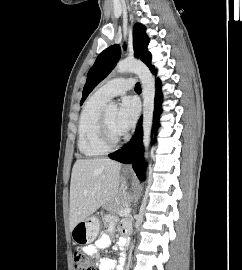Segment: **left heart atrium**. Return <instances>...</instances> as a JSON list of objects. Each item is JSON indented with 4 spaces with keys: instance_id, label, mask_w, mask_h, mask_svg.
<instances>
[{
    "instance_id": "1",
    "label": "left heart atrium",
    "mask_w": 242,
    "mask_h": 270,
    "mask_svg": "<svg viewBox=\"0 0 242 270\" xmlns=\"http://www.w3.org/2000/svg\"><path fill=\"white\" fill-rule=\"evenodd\" d=\"M139 104L136 99L126 97L122 100L117 115V124L119 128L126 132L131 129L138 118Z\"/></svg>"
}]
</instances>
